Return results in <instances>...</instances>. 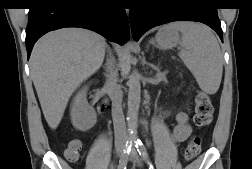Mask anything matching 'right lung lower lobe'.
Segmentation results:
<instances>
[{
  "label": "right lung lower lobe",
  "mask_w": 252,
  "mask_h": 169,
  "mask_svg": "<svg viewBox=\"0 0 252 169\" xmlns=\"http://www.w3.org/2000/svg\"><path fill=\"white\" fill-rule=\"evenodd\" d=\"M63 27H82L110 41H128V21L120 0H35L26 28L28 59L35 42Z\"/></svg>",
  "instance_id": "right-lung-lower-lobe-1"
}]
</instances>
